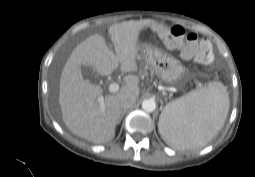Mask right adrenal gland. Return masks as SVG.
<instances>
[{
    "label": "right adrenal gland",
    "instance_id": "1",
    "mask_svg": "<svg viewBox=\"0 0 255 177\" xmlns=\"http://www.w3.org/2000/svg\"><path fill=\"white\" fill-rule=\"evenodd\" d=\"M125 113H126V110H124V111L122 112L119 122H121V120L123 119Z\"/></svg>",
    "mask_w": 255,
    "mask_h": 177
}]
</instances>
